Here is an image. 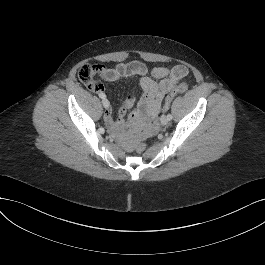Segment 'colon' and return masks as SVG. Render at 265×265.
I'll list each match as a JSON object with an SVG mask.
<instances>
[{
    "label": "colon",
    "mask_w": 265,
    "mask_h": 265,
    "mask_svg": "<svg viewBox=\"0 0 265 265\" xmlns=\"http://www.w3.org/2000/svg\"><path fill=\"white\" fill-rule=\"evenodd\" d=\"M101 67L100 65H91V64H85L80 67L78 71V77L80 81H82L84 84H86L88 87H91L95 84L97 78L101 76ZM187 89V85L182 83L178 84L171 92L166 96L163 104V110L166 111L169 109L172 100L181 93H184ZM146 144L144 142H138L135 145V150L138 153H143L146 150Z\"/></svg>",
    "instance_id": "obj_1"
}]
</instances>
